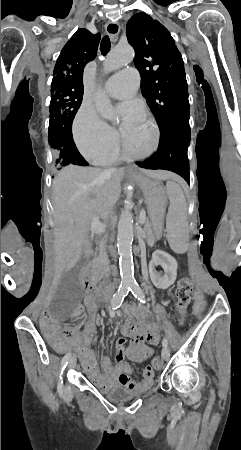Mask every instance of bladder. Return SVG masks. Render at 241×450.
<instances>
[{
    "label": "bladder",
    "mask_w": 241,
    "mask_h": 450,
    "mask_svg": "<svg viewBox=\"0 0 241 450\" xmlns=\"http://www.w3.org/2000/svg\"><path fill=\"white\" fill-rule=\"evenodd\" d=\"M138 393L125 385L118 383L107 392L108 397L117 402L127 401L135 397Z\"/></svg>",
    "instance_id": "bladder-1"
}]
</instances>
